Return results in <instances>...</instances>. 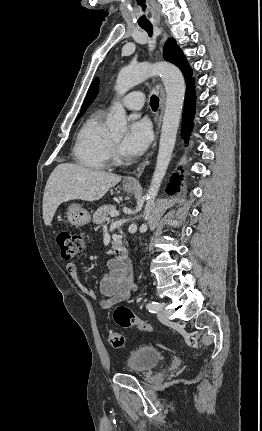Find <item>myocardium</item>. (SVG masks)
I'll return each mask as SVG.
<instances>
[{
    "mask_svg": "<svg viewBox=\"0 0 262 431\" xmlns=\"http://www.w3.org/2000/svg\"><path fill=\"white\" fill-rule=\"evenodd\" d=\"M111 147L115 148V141L111 139ZM121 161L118 159L117 163H120Z\"/></svg>",
    "mask_w": 262,
    "mask_h": 431,
    "instance_id": "myocardium-1",
    "label": "myocardium"
}]
</instances>
